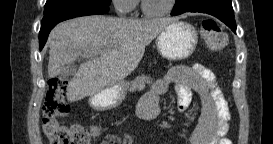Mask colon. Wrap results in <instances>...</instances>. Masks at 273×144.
<instances>
[{
	"mask_svg": "<svg viewBox=\"0 0 273 144\" xmlns=\"http://www.w3.org/2000/svg\"><path fill=\"white\" fill-rule=\"evenodd\" d=\"M205 43L212 49H220L226 44V36L213 19H205L201 24ZM68 81L55 78L49 81L43 105L44 132L52 144H89L95 131L81 125H64L60 119L69 112L66 102Z\"/></svg>",
	"mask_w": 273,
	"mask_h": 144,
	"instance_id": "obj_1",
	"label": "colon"
}]
</instances>
